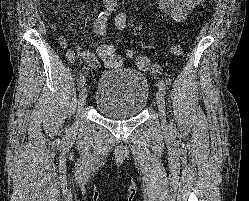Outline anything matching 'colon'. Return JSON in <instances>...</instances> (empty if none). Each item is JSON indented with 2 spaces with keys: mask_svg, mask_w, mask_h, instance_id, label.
Masks as SVG:
<instances>
[{
  "mask_svg": "<svg viewBox=\"0 0 249 201\" xmlns=\"http://www.w3.org/2000/svg\"><path fill=\"white\" fill-rule=\"evenodd\" d=\"M171 54L174 56H180L183 53V48L180 43H176L171 47ZM99 57L104 61L107 66H114L120 62V58L111 45H104L99 48ZM129 56L135 60L138 68L142 70H152L153 72H158L157 67L153 66L149 58L145 55H135L130 53Z\"/></svg>",
  "mask_w": 249,
  "mask_h": 201,
  "instance_id": "1",
  "label": "colon"
}]
</instances>
